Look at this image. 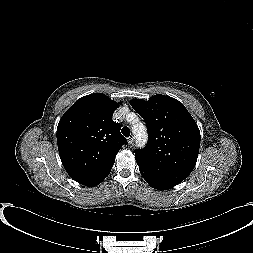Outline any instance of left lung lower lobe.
<instances>
[{"label":"left lung lower lobe","instance_id":"left-lung-lower-lobe-1","mask_svg":"<svg viewBox=\"0 0 253 253\" xmlns=\"http://www.w3.org/2000/svg\"><path fill=\"white\" fill-rule=\"evenodd\" d=\"M140 173L143 176V178L148 182V184L151 185L155 189L167 190L175 186L168 182H164L158 178H155L142 170H140Z\"/></svg>","mask_w":253,"mask_h":253}]
</instances>
